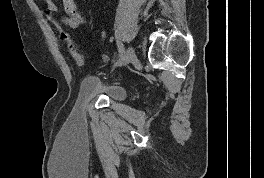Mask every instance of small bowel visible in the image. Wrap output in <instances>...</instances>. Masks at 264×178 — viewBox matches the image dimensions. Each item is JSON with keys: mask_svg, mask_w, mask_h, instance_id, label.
<instances>
[{"mask_svg": "<svg viewBox=\"0 0 264 178\" xmlns=\"http://www.w3.org/2000/svg\"><path fill=\"white\" fill-rule=\"evenodd\" d=\"M43 2L45 9L49 13H59L58 6L52 0H40ZM64 14L61 16V21L66 26L77 29L86 23V16L78 9L76 0H62ZM106 58V55H102Z\"/></svg>", "mask_w": 264, "mask_h": 178, "instance_id": "obj_1", "label": "small bowel"}]
</instances>
